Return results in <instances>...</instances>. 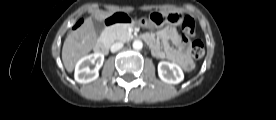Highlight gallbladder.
<instances>
[{
	"label": "gallbladder",
	"instance_id": "bac80fb5",
	"mask_svg": "<svg viewBox=\"0 0 276 120\" xmlns=\"http://www.w3.org/2000/svg\"><path fill=\"white\" fill-rule=\"evenodd\" d=\"M93 29L96 35H100L104 30V24L101 21L94 20L93 21Z\"/></svg>",
	"mask_w": 276,
	"mask_h": 120
}]
</instances>
